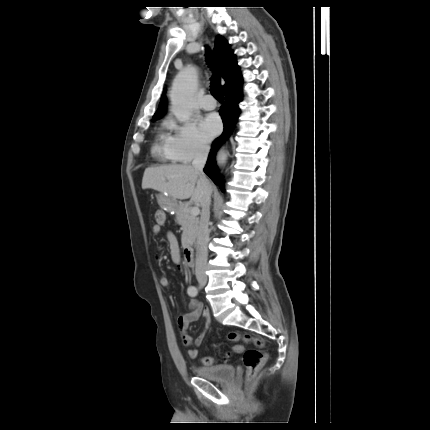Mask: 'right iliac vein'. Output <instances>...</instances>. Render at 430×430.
<instances>
[{
  "label": "right iliac vein",
  "instance_id": "right-iliac-vein-1",
  "mask_svg": "<svg viewBox=\"0 0 430 430\" xmlns=\"http://www.w3.org/2000/svg\"><path fill=\"white\" fill-rule=\"evenodd\" d=\"M198 281H199L200 285H205L207 282L206 278H200Z\"/></svg>",
  "mask_w": 430,
  "mask_h": 430
}]
</instances>
